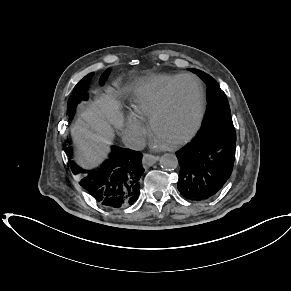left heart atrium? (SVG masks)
Returning <instances> with one entry per match:
<instances>
[{
    "label": "left heart atrium",
    "mask_w": 291,
    "mask_h": 291,
    "mask_svg": "<svg viewBox=\"0 0 291 291\" xmlns=\"http://www.w3.org/2000/svg\"><path fill=\"white\" fill-rule=\"evenodd\" d=\"M151 143L154 148H164L170 144L169 142H167L166 140L162 139L157 135H154L152 137Z\"/></svg>",
    "instance_id": "1"
}]
</instances>
